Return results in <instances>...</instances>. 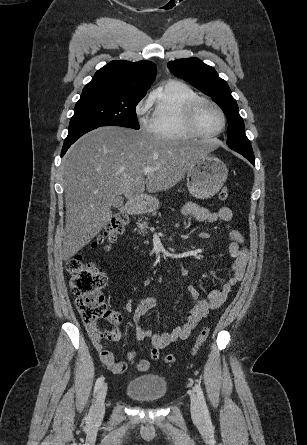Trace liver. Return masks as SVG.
<instances>
[{
	"label": "liver",
	"instance_id": "1",
	"mask_svg": "<svg viewBox=\"0 0 307 445\" xmlns=\"http://www.w3.org/2000/svg\"><path fill=\"white\" fill-rule=\"evenodd\" d=\"M201 156L196 142L155 138L145 130L100 126L81 136L63 166V261L74 257L108 225L117 194L135 198L145 190H167ZM144 166L157 170L145 174Z\"/></svg>",
	"mask_w": 307,
	"mask_h": 445
}]
</instances>
